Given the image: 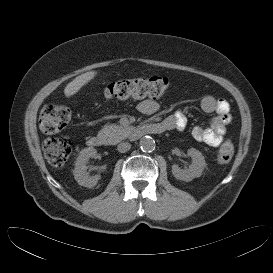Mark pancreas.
I'll return each mask as SVG.
<instances>
[{"mask_svg": "<svg viewBox=\"0 0 273 273\" xmlns=\"http://www.w3.org/2000/svg\"><path fill=\"white\" fill-rule=\"evenodd\" d=\"M130 127H123L116 124L105 125L100 134L103 135L109 144H116L128 137L131 133Z\"/></svg>", "mask_w": 273, "mask_h": 273, "instance_id": "pancreas-1", "label": "pancreas"}]
</instances>
